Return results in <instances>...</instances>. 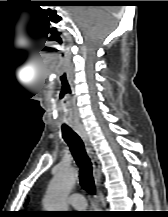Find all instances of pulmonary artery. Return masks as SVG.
Instances as JSON below:
<instances>
[{
  "mask_svg": "<svg viewBox=\"0 0 168 217\" xmlns=\"http://www.w3.org/2000/svg\"><path fill=\"white\" fill-rule=\"evenodd\" d=\"M69 204L75 209H84L86 207V201L82 194L73 193L68 198Z\"/></svg>",
  "mask_w": 168,
  "mask_h": 217,
  "instance_id": "e3ab8cb5",
  "label": "pulmonary artery"
}]
</instances>
